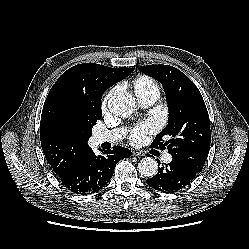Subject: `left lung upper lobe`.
Here are the masks:
<instances>
[{"label": "left lung upper lobe", "mask_w": 249, "mask_h": 249, "mask_svg": "<svg viewBox=\"0 0 249 249\" xmlns=\"http://www.w3.org/2000/svg\"><path fill=\"white\" fill-rule=\"evenodd\" d=\"M139 70L160 81L169 107L168 125L151 147L167 149L174 160L200 173L211 143L209 115L200 91L175 67L146 65ZM164 136L169 140L164 141Z\"/></svg>", "instance_id": "left-lung-upper-lobe-1"}]
</instances>
